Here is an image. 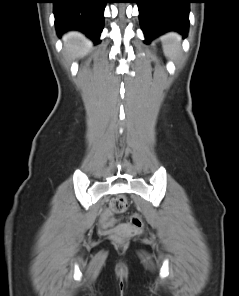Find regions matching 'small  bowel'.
Wrapping results in <instances>:
<instances>
[{
  "instance_id": "c3829d8e",
  "label": "small bowel",
  "mask_w": 239,
  "mask_h": 296,
  "mask_svg": "<svg viewBox=\"0 0 239 296\" xmlns=\"http://www.w3.org/2000/svg\"><path fill=\"white\" fill-rule=\"evenodd\" d=\"M103 223L108 226H111L114 223V219H113L112 213L110 211H106L104 213Z\"/></svg>"
}]
</instances>
